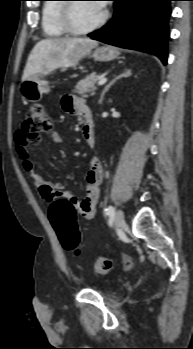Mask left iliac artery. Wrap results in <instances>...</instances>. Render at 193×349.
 <instances>
[{
  "mask_svg": "<svg viewBox=\"0 0 193 349\" xmlns=\"http://www.w3.org/2000/svg\"><path fill=\"white\" fill-rule=\"evenodd\" d=\"M105 212L107 215L114 214V208L112 206H109L108 208H106Z\"/></svg>",
  "mask_w": 193,
  "mask_h": 349,
  "instance_id": "1",
  "label": "left iliac artery"
}]
</instances>
